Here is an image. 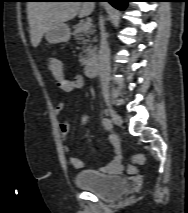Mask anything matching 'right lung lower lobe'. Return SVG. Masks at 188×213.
<instances>
[{
    "label": "right lung lower lobe",
    "instance_id": "1",
    "mask_svg": "<svg viewBox=\"0 0 188 213\" xmlns=\"http://www.w3.org/2000/svg\"><path fill=\"white\" fill-rule=\"evenodd\" d=\"M69 1V0H68ZM74 1H78V0H74ZM82 1H105V2H109L111 5H113L115 8H118L120 10H123L126 8L127 3L131 0H82Z\"/></svg>",
    "mask_w": 188,
    "mask_h": 213
}]
</instances>
